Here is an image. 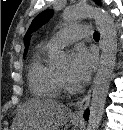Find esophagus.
Returning a JSON list of instances; mask_svg holds the SVG:
<instances>
[{
	"label": "esophagus",
	"mask_w": 123,
	"mask_h": 130,
	"mask_svg": "<svg viewBox=\"0 0 123 130\" xmlns=\"http://www.w3.org/2000/svg\"><path fill=\"white\" fill-rule=\"evenodd\" d=\"M97 27L100 29L99 23L96 21ZM92 88L88 90V92L79 100L77 103V108L73 113V118L75 119H82L83 113L89 105L90 98H91Z\"/></svg>",
	"instance_id": "obj_1"
}]
</instances>
